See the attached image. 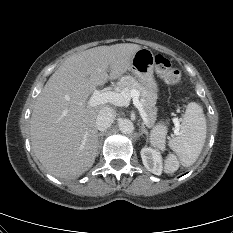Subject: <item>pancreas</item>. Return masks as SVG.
Wrapping results in <instances>:
<instances>
[{"label":"pancreas","mask_w":233,"mask_h":233,"mask_svg":"<svg viewBox=\"0 0 233 233\" xmlns=\"http://www.w3.org/2000/svg\"><path fill=\"white\" fill-rule=\"evenodd\" d=\"M118 88L120 91H123L124 89L129 91L135 89L139 91L141 98L140 102L147 115L148 127L152 128L151 134L154 138V142L156 145L162 147L166 135V129L163 126L155 125L157 118V108L155 107L157 97L148 92L144 86L132 76L122 77L118 82Z\"/></svg>","instance_id":"pancreas-1"}]
</instances>
